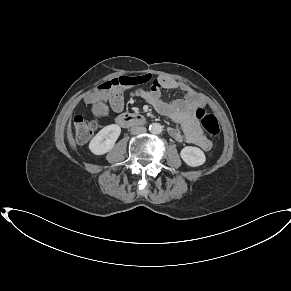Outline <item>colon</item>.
I'll list each match as a JSON object with an SVG mask.
<instances>
[{"instance_id": "1", "label": "colon", "mask_w": 291, "mask_h": 291, "mask_svg": "<svg viewBox=\"0 0 291 291\" xmlns=\"http://www.w3.org/2000/svg\"><path fill=\"white\" fill-rule=\"evenodd\" d=\"M146 80L142 77H127L121 76L106 82L101 83L97 87L99 94L109 93L118 88H126L139 83H145ZM196 117L207 134L216 137L220 133V126L217 118L208 110L204 108H197L195 111ZM75 129V139L78 143H85L88 141L97 129V122L88 119L84 115H76L73 119Z\"/></svg>"}]
</instances>
